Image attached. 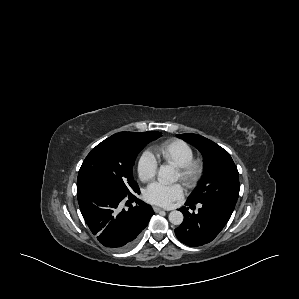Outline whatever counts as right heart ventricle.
I'll return each instance as SVG.
<instances>
[{"label": "right heart ventricle", "instance_id": "1", "mask_svg": "<svg viewBox=\"0 0 299 299\" xmlns=\"http://www.w3.org/2000/svg\"><path fill=\"white\" fill-rule=\"evenodd\" d=\"M156 151L166 163L175 167L182 166L194 157L192 147L180 139L164 141L157 146Z\"/></svg>", "mask_w": 299, "mask_h": 299}]
</instances>
